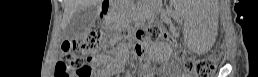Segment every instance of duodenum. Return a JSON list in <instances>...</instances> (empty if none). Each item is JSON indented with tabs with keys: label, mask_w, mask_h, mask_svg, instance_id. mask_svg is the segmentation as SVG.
Segmentation results:
<instances>
[{
	"label": "duodenum",
	"mask_w": 258,
	"mask_h": 77,
	"mask_svg": "<svg viewBox=\"0 0 258 77\" xmlns=\"http://www.w3.org/2000/svg\"><path fill=\"white\" fill-rule=\"evenodd\" d=\"M102 13L104 16L109 14V5L108 4L106 6H103Z\"/></svg>",
	"instance_id": "obj_1"
}]
</instances>
